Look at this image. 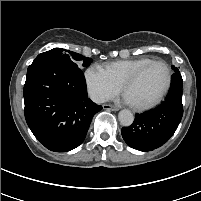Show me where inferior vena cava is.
<instances>
[{"mask_svg":"<svg viewBox=\"0 0 201 201\" xmlns=\"http://www.w3.org/2000/svg\"><path fill=\"white\" fill-rule=\"evenodd\" d=\"M91 100L97 104L104 103L108 100L106 95L99 94V93H93L91 94Z\"/></svg>","mask_w":201,"mask_h":201,"instance_id":"obj_1","label":"inferior vena cava"}]
</instances>
